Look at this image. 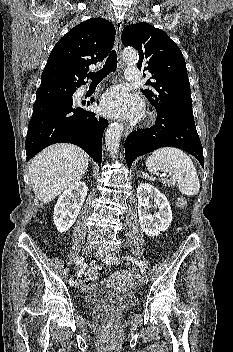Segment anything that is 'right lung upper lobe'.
I'll return each mask as SVG.
<instances>
[{
  "label": "right lung upper lobe",
  "instance_id": "right-lung-upper-lobe-1",
  "mask_svg": "<svg viewBox=\"0 0 233 352\" xmlns=\"http://www.w3.org/2000/svg\"><path fill=\"white\" fill-rule=\"evenodd\" d=\"M115 40V28L107 20L92 18L72 28L54 46L42 73L40 87L85 84L90 64L102 61Z\"/></svg>",
  "mask_w": 233,
  "mask_h": 352
}]
</instances>
